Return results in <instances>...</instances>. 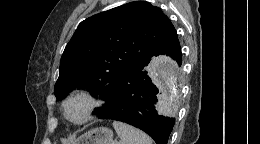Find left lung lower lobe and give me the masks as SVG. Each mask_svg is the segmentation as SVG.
<instances>
[{"mask_svg": "<svg viewBox=\"0 0 260 144\" xmlns=\"http://www.w3.org/2000/svg\"><path fill=\"white\" fill-rule=\"evenodd\" d=\"M166 55L182 64L178 37L162 47L155 56ZM150 59L129 68L112 94L109 107L98 118L116 120L135 126L150 135L157 144H167L175 119L159 115L155 110L158 101H164L163 93L152 83L144 67Z\"/></svg>", "mask_w": 260, "mask_h": 144, "instance_id": "0a47b994", "label": "left lung lower lobe"}]
</instances>
